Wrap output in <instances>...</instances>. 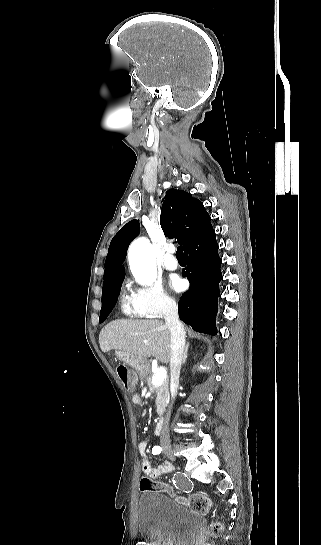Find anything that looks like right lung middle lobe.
<instances>
[{"label": "right lung middle lobe", "instance_id": "1", "mask_svg": "<svg viewBox=\"0 0 321 545\" xmlns=\"http://www.w3.org/2000/svg\"><path fill=\"white\" fill-rule=\"evenodd\" d=\"M121 284L113 286L111 288L102 290V308L100 311L99 322H103L108 315V302L111 298H116L119 295Z\"/></svg>", "mask_w": 321, "mask_h": 545}]
</instances>
